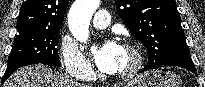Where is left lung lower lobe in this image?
<instances>
[{
	"mask_svg": "<svg viewBox=\"0 0 205 87\" xmlns=\"http://www.w3.org/2000/svg\"><path fill=\"white\" fill-rule=\"evenodd\" d=\"M178 66L185 68L189 71H192L195 75L196 74V68L194 66V63L190 57L189 50L182 51L174 54L172 57H170L167 61H165L161 66ZM151 68L145 67L142 69L141 72L149 70Z\"/></svg>",
	"mask_w": 205,
	"mask_h": 87,
	"instance_id": "1",
	"label": "left lung lower lobe"
}]
</instances>
